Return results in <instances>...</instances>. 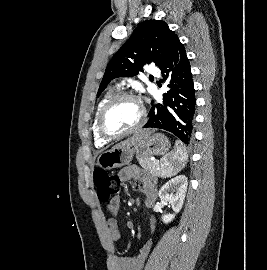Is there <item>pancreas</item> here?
I'll use <instances>...</instances> for the list:
<instances>
[{
    "instance_id": "obj_1",
    "label": "pancreas",
    "mask_w": 267,
    "mask_h": 270,
    "mask_svg": "<svg viewBox=\"0 0 267 270\" xmlns=\"http://www.w3.org/2000/svg\"><path fill=\"white\" fill-rule=\"evenodd\" d=\"M138 162L144 171L150 173L151 175L157 177L159 176V162L150 158H139Z\"/></svg>"
}]
</instances>
